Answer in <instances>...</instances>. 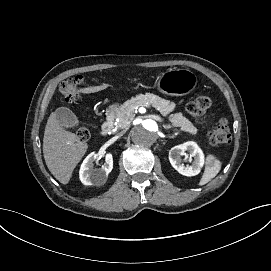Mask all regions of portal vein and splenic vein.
<instances>
[{
	"label": "portal vein and splenic vein",
	"mask_w": 271,
	"mask_h": 271,
	"mask_svg": "<svg viewBox=\"0 0 271 271\" xmlns=\"http://www.w3.org/2000/svg\"><path fill=\"white\" fill-rule=\"evenodd\" d=\"M139 105H140L141 107H142V106H148L150 109L152 108L151 105L148 104V103H140Z\"/></svg>",
	"instance_id": "portal-vein-and-splenic-vein-1"
}]
</instances>
